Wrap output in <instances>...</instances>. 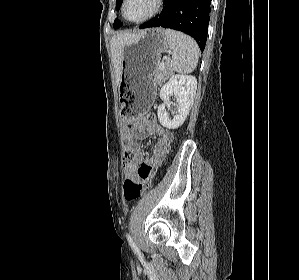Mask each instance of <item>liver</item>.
I'll return each instance as SVG.
<instances>
[{"label": "liver", "instance_id": "liver-1", "mask_svg": "<svg viewBox=\"0 0 299 280\" xmlns=\"http://www.w3.org/2000/svg\"><path fill=\"white\" fill-rule=\"evenodd\" d=\"M139 33H118L111 39L112 60L115 68L116 85L121 81V63L124 46L134 40Z\"/></svg>", "mask_w": 299, "mask_h": 280}]
</instances>
